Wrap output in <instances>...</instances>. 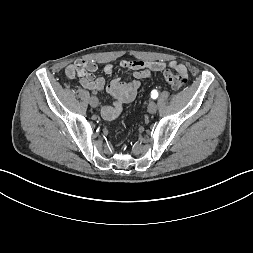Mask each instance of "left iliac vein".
I'll return each mask as SVG.
<instances>
[{
  "instance_id": "left-iliac-vein-1",
  "label": "left iliac vein",
  "mask_w": 253,
  "mask_h": 253,
  "mask_svg": "<svg viewBox=\"0 0 253 253\" xmlns=\"http://www.w3.org/2000/svg\"><path fill=\"white\" fill-rule=\"evenodd\" d=\"M148 112L151 113V114H154L156 113L157 111V104L154 102V101H151L149 104H148Z\"/></svg>"
}]
</instances>
